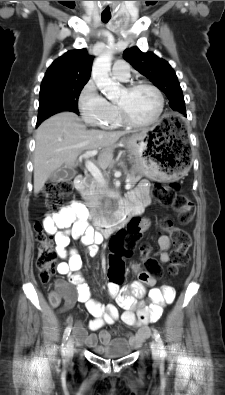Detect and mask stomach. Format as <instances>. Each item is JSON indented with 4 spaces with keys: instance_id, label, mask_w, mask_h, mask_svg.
Instances as JSON below:
<instances>
[{
    "instance_id": "0dacf381",
    "label": "stomach",
    "mask_w": 225,
    "mask_h": 395,
    "mask_svg": "<svg viewBox=\"0 0 225 395\" xmlns=\"http://www.w3.org/2000/svg\"><path fill=\"white\" fill-rule=\"evenodd\" d=\"M157 127L124 139L135 157L132 172H139L151 180L181 178L187 170L182 152H174L172 147L167 146L169 140L163 132H158Z\"/></svg>"
}]
</instances>
